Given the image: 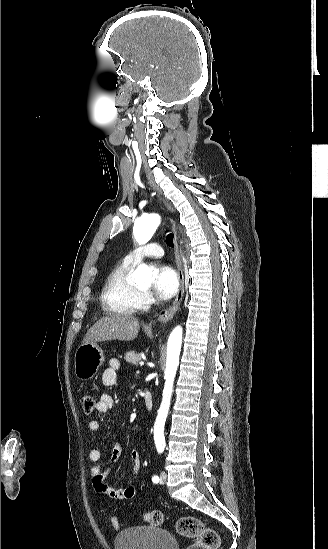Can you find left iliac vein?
Masks as SVG:
<instances>
[{
	"instance_id": "1",
	"label": "left iliac vein",
	"mask_w": 328,
	"mask_h": 549,
	"mask_svg": "<svg viewBox=\"0 0 328 549\" xmlns=\"http://www.w3.org/2000/svg\"><path fill=\"white\" fill-rule=\"evenodd\" d=\"M166 473L164 471L161 472V475H160V483L161 484H164L165 481H166Z\"/></svg>"
}]
</instances>
